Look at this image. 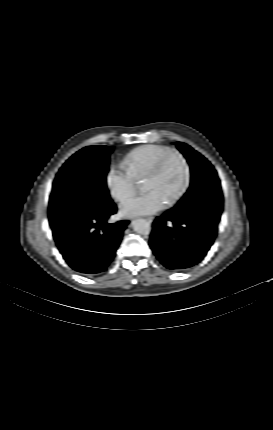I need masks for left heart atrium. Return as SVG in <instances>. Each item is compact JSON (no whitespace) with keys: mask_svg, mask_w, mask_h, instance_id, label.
<instances>
[{"mask_svg":"<svg viewBox=\"0 0 273 430\" xmlns=\"http://www.w3.org/2000/svg\"><path fill=\"white\" fill-rule=\"evenodd\" d=\"M166 201L157 191H149L146 194L135 196L126 201L121 207L123 216L150 215L164 209Z\"/></svg>","mask_w":273,"mask_h":430,"instance_id":"obj_1","label":"left heart atrium"}]
</instances>
